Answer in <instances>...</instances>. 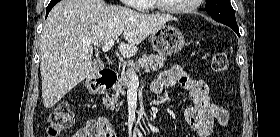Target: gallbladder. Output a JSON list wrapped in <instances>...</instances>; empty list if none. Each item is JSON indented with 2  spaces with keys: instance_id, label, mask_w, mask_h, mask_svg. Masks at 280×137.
Listing matches in <instances>:
<instances>
[{
  "instance_id": "gallbladder-1",
  "label": "gallbladder",
  "mask_w": 280,
  "mask_h": 137,
  "mask_svg": "<svg viewBox=\"0 0 280 137\" xmlns=\"http://www.w3.org/2000/svg\"><path fill=\"white\" fill-rule=\"evenodd\" d=\"M94 71L98 72L104 68V64L100 59H96L93 61Z\"/></svg>"
}]
</instances>
